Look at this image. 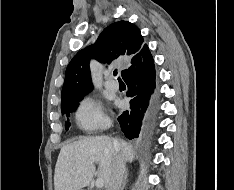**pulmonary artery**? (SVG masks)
I'll return each mask as SVG.
<instances>
[{
	"label": "pulmonary artery",
	"instance_id": "pulmonary-artery-1",
	"mask_svg": "<svg viewBox=\"0 0 234 190\" xmlns=\"http://www.w3.org/2000/svg\"><path fill=\"white\" fill-rule=\"evenodd\" d=\"M106 87H107V89H109L111 91H117L119 86H118V83H116L114 81H107Z\"/></svg>",
	"mask_w": 234,
	"mask_h": 190
}]
</instances>
